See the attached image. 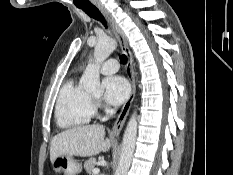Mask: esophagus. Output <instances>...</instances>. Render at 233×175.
I'll return each mask as SVG.
<instances>
[{
	"label": "esophagus",
	"instance_id": "1",
	"mask_svg": "<svg viewBox=\"0 0 233 175\" xmlns=\"http://www.w3.org/2000/svg\"><path fill=\"white\" fill-rule=\"evenodd\" d=\"M94 5L104 14V16L107 18L108 22L111 25V28L116 36V38L119 41V44L121 46L122 51L127 56V65H126V73L129 79V82L131 84V92L130 95L123 105L114 125L112 128L113 134H119L124 126L125 120L128 116L129 110L131 108V105L133 103L134 97H135V81H134V73H133V65H132V55L131 51L128 45L127 38L122 31V29L119 27L113 16L106 10V8L97 1L93 2Z\"/></svg>",
	"mask_w": 233,
	"mask_h": 175
}]
</instances>
